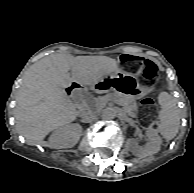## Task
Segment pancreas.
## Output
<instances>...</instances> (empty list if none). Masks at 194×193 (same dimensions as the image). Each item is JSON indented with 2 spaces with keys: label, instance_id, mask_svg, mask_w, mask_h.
Returning a JSON list of instances; mask_svg holds the SVG:
<instances>
[{
  "label": "pancreas",
  "instance_id": "1",
  "mask_svg": "<svg viewBox=\"0 0 194 193\" xmlns=\"http://www.w3.org/2000/svg\"><path fill=\"white\" fill-rule=\"evenodd\" d=\"M109 101L111 103H115L117 106L123 107L124 111L131 117L136 116L137 104L134 100L129 98H123L122 96H118L116 94L107 95L109 97Z\"/></svg>",
  "mask_w": 194,
  "mask_h": 193
}]
</instances>
